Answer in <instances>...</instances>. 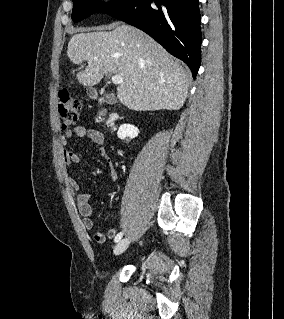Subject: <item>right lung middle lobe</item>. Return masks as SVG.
Listing matches in <instances>:
<instances>
[{
    "instance_id": "1",
    "label": "right lung middle lobe",
    "mask_w": 284,
    "mask_h": 319,
    "mask_svg": "<svg viewBox=\"0 0 284 319\" xmlns=\"http://www.w3.org/2000/svg\"><path fill=\"white\" fill-rule=\"evenodd\" d=\"M132 0H110L104 3L102 0H73L72 19L74 22L81 21L93 13H108L117 7H122Z\"/></svg>"
}]
</instances>
